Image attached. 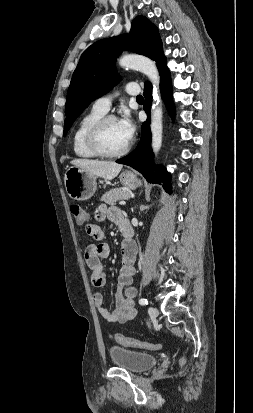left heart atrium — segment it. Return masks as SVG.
Here are the masks:
<instances>
[{
	"instance_id": "1",
	"label": "left heart atrium",
	"mask_w": 253,
	"mask_h": 413,
	"mask_svg": "<svg viewBox=\"0 0 253 413\" xmlns=\"http://www.w3.org/2000/svg\"><path fill=\"white\" fill-rule=\"evenodd\" d=\"M117 125L119 130L125 139L130 142L135 133V124L129 114H124L120 119L117 120Z\"/></svg>"
}]
</instances>
